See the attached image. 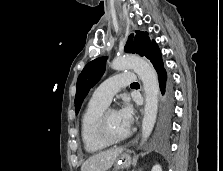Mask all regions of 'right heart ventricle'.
Listing matches in <instances>:
<instances>
[{
	"label": "right heart ventricle",
	"instance_id": "1",
	"mask_svg": "<svg viewBox=\"0 0 223 171\" xmlns=\"http://www.w3.org/2000/svg\"><path fill=\"white\" fill-rule=\"evenodd\" d=\"M106 104L91 99L85 108L80 121V136L83 147L90 154L104 150L108 145L100 142L95 135V123Z\"/></svg>",
	"mask_w": 223,
	"mask_h": 171
}]
</instances>
